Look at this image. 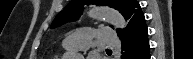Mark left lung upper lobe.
<instances>
[{"instance_id": "1", "label": "left lung upper lobe", "mask_w": 193, "mask_h": 59, "mask_svg": "<svg viewBox=\"0 0 193 59\" xmlns=\"http://www.w3.org/2000/svg\"><path fill=\"white\" fill-rule=\"evenodd\" d=\"M96 4L109 6L123 14L126 20L132 18L135 12H142L139 3L136 0H72L64 10H62L53 20L51 27H58L68 21L76 20L83 11L84 4ZM118 35L122 31L117 29Z\"/></svg>"}]
</instances>
